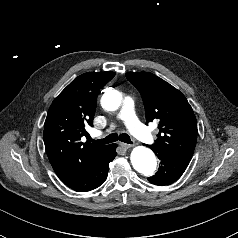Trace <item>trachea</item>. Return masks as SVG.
I'll list each match as a JSON object with an SVG mask.
<instances>
[{
  "mask_svg": "<svg viewBox=\"0 0 238 238\" xmlns=\"http://www.w3.org/2000/svg\"><path fill=\"white\" fill-rule=\"evenodd\" d=\"M89 140H90V142H94L97 144H109V143H113L117 140H120L124 143L132 144V141H131L129 135H127L126 133H121L120 135L113 133V134L108 135L104 139L93 140V139L89 138Z\"/></svg>",
  "mask_w": 238,
  "mask_h": 238,
  "instance_id": "trachea-1",
  "label": "trachea"
}]
</instances>
